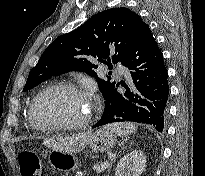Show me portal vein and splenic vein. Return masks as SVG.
<instances>
[{"mask_svg":"<svg viewBox=\"0 0 205 176\" xmlns=\"http://www.w3.org/2000/svg\"><path fill=\"white\" fill-rule=\"evenodd\" d=\"M110 166L109 161L104 162L101 167L97 168V172L101 173L102 171H105Z\"/></svg>","mask_w":205,"mask_h":176,"instance_id":"1","label":"portal vein and splenic vein"}]
</instances>
